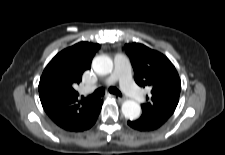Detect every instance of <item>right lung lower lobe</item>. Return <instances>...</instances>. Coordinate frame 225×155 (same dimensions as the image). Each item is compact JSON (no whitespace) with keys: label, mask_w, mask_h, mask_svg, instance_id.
I'll use <instances>...</instances> for the list:
<instances>
[{"label":"right lung lower lobe","mask_w":225,"mask_h":155,"mask_svg":"<svg viewBox=\"0 0 225 155\" xmlns=\"http://www.w3.org/2000/svg\"><path fill=\"white\" fill-rule=\"evenodd\" d=\"M102 103H103V101L99 99L98 104H97V106L95 108V111H94V113H93V115H92L88 125L86 126V128L84 130H87V129L91 128L95 124L96 119H97V117H98V115L100 113V110H101V107H102Z\"/></svg>","instance_id":"98d812e1"}]
</instances>
